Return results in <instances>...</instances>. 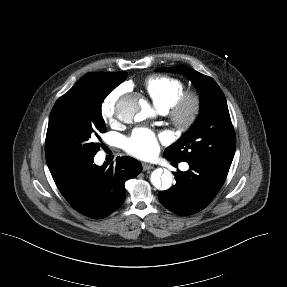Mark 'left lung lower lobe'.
I'll list each match as a JSON object with an SVG mask.
<instances>
[{
  "label": "left lung lower lobe",
  "mask_w": 287,
  "mask_h": 287,
  "mask_svg": "<svg viewBox=\"0 0 287 287\" xmlns=\"http://www.w3.org/2000/svg\"><path fill=\"white\" fill-rule=\"evenodd\" d=\"M188 164L190 170L174 173V186L158 193L159 201L164 207L182 216L192 215L204 209L216 196L227 177L203 164Z\"/></svg>",
  "instance_id": "0a47b994"
}]
</instances>
